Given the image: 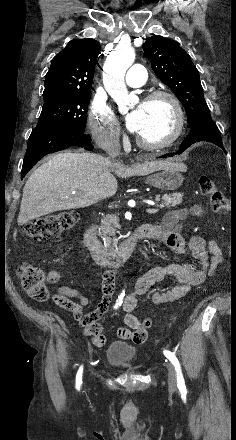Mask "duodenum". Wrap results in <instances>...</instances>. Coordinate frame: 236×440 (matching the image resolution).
I'll list each match as a JSON object with an SVG mask.
<instances>
[{"label": "duodenum", "instance_id": "duodenum-1", "mask_svg": "<svg viewBox=\"0 0 236 440\" xmlns=\"http://www.w3.org/2000/svg\"><path fill=\"white\" fill-rule=\"evenodd\" d=\"M154 226L143 224L136 227L128 238L117 248L106 249L96 235L93 225H88L83 233L84 243L89 248L95 262L105 268H118L137 249L140 243L151 238Z\"/></svg>", "mask_w": 236, "mask_h": 440}]
</instances>
